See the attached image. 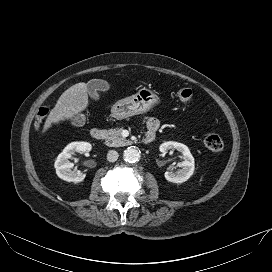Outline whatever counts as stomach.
<instances>
[{
    "label": "stomach",
    "instance_id": "1",
    "mask_svg": "<svg viewBox=\"0 0 272 272\" xmlns=\"http://www.w3.org/2000/svg\"><path fill=\"white\" fill-rule=\"evenodd\" d=\"M160 104L158 94L148 88H141L136 94L118 100L112 108L116 119H125L145 113Z\"/></svg>",
    "mask_w": 272,
    "mask_h": 272
}]
</instances>
